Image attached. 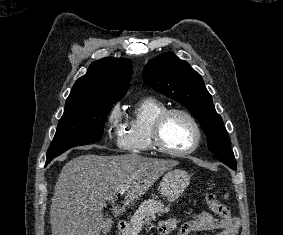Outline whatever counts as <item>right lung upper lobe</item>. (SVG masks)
Wrapping results in <instances>:
<instances>
[{
    "instance_id": "1",
    "label": "right lung upper lobe",
    "mask_w": 283,
    "mask_h": 235,
    "mask_svg": "<svg viewBox=\"0 0 283 235\" xmlns=\"http://www.w3.org/2000/svg\"><path fill=\"white\" fill-rule=\"evenodd\" d=\"M133 64L125 58H103L93 62L86 75L77 79L66 103L112 102L127 93Z\"/></svg>"
}]
</instances>
